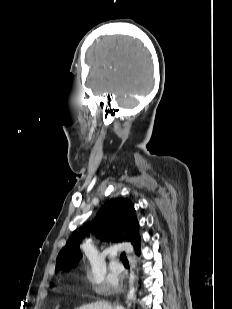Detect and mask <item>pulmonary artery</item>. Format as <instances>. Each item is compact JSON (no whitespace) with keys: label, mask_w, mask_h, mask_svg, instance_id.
I'll list each match as a JSON object with an SVG mask.
<instances>
[{"label":"pulmonary artery","mask_w":232,"mask_h":309,"mask_svg":"<svg viewBox=\"0 0 232 309\" xmlns=\"http://www.w3.org/2000/svg\"><path fill=\"white\" fill-rule=\"evenodd\" d=\"M109 269L114 274H120L124 270L123 266L114 260L110 262Z\"/></svg>","instance_id":"1"}]
</instances>
